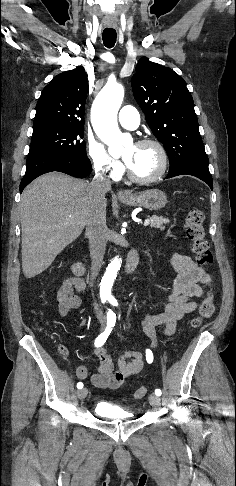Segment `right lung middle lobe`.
Wrapping results in <instances>:
<instances>
[{
    "mask_svg": "<svg viewBox=\"0 0 236 486\" xmlns=\"http://www.w3.org/2000/svg\"><path fill=\"white\" fill-rule=\"evenodd\" d=\"M84 127L43 125L33 127L28 156L52 154L86 158Z\"/></svg>",
    "mask_w": 236,
    "mask_h": 486,
    "instance_id": "dd1d6c3e",
    "label": "right lung middle lobe"
}]
</instances>
